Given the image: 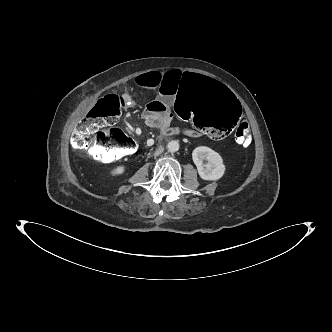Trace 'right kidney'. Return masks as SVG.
Segmentation results:
<instances>
[{
    "label": "right kidney",
    "mask_w": 332,
    "mask_h": 332,
    "mask_svg": "<svg viewBox=\"0 0 332 332\" xmlns=\"http://www.w3.org/2000/svg\"><path fill=\"white\" fill-rule=\"evenodd\" d=\"M125 171H126V167L124 165H119V166H116L115 168H113L110 171V174L112 176H118V175H122Z\"/></svg>",
    "instance_id": "1"
}]
</instances>
